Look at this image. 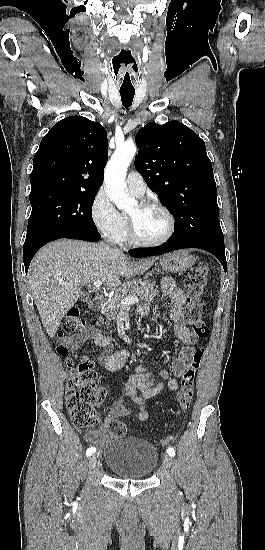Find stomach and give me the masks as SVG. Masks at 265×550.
I'll return each mask as SVG.
<instances>
[{
  "label": "stomach",
  "instance_id": "0dacf381",
  "mask_svg": "<svg viewBox=\"0 0 265 550\" xmlns=\"http://www.w3.org/2000/svg\"><path fill=\"white\" fill-rule=\"evenodd\" d=\"M195 258L185 251H176L161 257L160 264L164 272L178 273L190 268Z\"/></svg>",
  "mask_w": 265,
  "mask_h": 550
}]
</instances>
